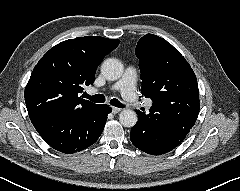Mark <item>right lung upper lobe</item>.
<instances>
[{
	"instance_id": "1",
	"label": "right lung upper lobe",
	"mask_w": 240,
	"mask_h": 191,
	"mask_svg": "<svg viewBox=\"0 0 240 191\" xmlns=\"http://www.w3.org/2000/svg\"><path fill=\"white\" fill-rule=\"evenodd\" d=\"M119 43L118 39L85 36L51 48L34 67L25 88L31 121L58 111L80 112L95 106L79 93L93 84L103 57Z\"/></svg>"
}]
</instances>
